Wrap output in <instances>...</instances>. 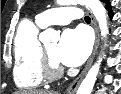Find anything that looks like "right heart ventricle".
Masks as SVG:
<instances>
[{
	"mask_svg": "<svg viewBox=\"0 0 121 94\" xmlns=\"http://www.w3.org/2000/svg\"><path fill=\"white\" fill-rule=\"evenodd\" d=\"M44 26L38 21H23L14 40V81L17 87L33 89L41 86V42L39 31Z\"/></svg>",
	"mask_w": 121,
	"mask_h": 94,
	"instance_id": "right-heart-ventricle-1",
	"label": "right heart ventricle"
}]
</instances>
